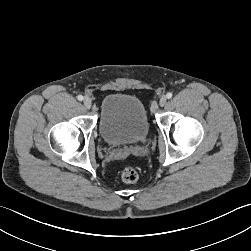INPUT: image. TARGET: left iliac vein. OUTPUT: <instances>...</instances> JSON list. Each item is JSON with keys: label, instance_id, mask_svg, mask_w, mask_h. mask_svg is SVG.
Here are the masks:
<instances>
[{"label": "left iliac vein", "instance_id": "1", "mask_svg": "<svg viewBox=\"0 0 251 251\" xmlns=\"http://www.w3.org/2000/svg\"><path fill=\"white\" fill-rule=\"evenodd\" d=\"M166 102H167V97H166V96H162V97L160 98V100H159V105H160L161 107H163V106L166 104Z\"/></svg>", "mask_w": 251, "mask_h": 251}]
</instances>
